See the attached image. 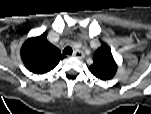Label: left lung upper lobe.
Returning <instances> with one entry per match:
<instances>
[{"mask_svg":"<svg viewBox=\"0 0 151 114\" xmlns=\"http://www.w3.org/2000/svg\"><path fill=\"white\" fill-rule=\"evenodd\" d=\"M89 69L94 76L104 81L110 80L115 76L117 64L106 44L103 43L94 53L93 64Z\"/></svg>","mask_w":151,"mask_h":114,"instance_id":"1","label":"left lung upper lobe"}]
</instances>
